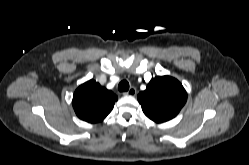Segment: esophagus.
<instances>
[{
    "label": "esophagus",
    "mask_w": 249,
    "mask_h": 165,
    "mask_svg": "<svg viewBox=\"0 0 249 165\" xmlns=\"http://www.w3.org/2000/svg\"><path fill=\"white\" fill-rule=\"evenodd\" d=\"M137 93L136 88L135 87H131L126 93H124L125 95H130V96H135Z\"/></svg>",
    "instance_id": "obj_1"
}]
</instances>
